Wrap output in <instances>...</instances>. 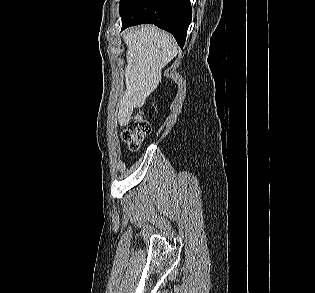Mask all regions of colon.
Segmentation results:
<instances>
[{
    "label": "colon",
    "mask_w": 315,
    "mask_h": 293,
    "mask_svg": "<svg viewBox=\"0 0 315 293\" xmlns=\"http://www.w3.org/2000/svg\"><path fill=\"white\" fill-rule=\"evenodd\" d=\"M150 133V126L144 120L141 114L135 115L126 130L123 132V139L131 151H137L144 140Z\"/></svg>",
    "instance_id": "1"
}]
</instances>
